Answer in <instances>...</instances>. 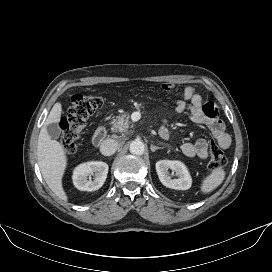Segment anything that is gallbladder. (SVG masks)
<instances>
[{
    "label": "gallbladder",
    "instance_id": "bac80fb5",
    "mask_svg": "<svg viewBox=\"0 0 272 272\" xmlns=\"http://www.w3.org/2000/svg\"><path fill=\"white\" fill-rule=\"evenodd\" d=\"M47 132L52 139H58L61 134V129L56 123L47 125Z\"/></svg>",
    "mask_w": 272,
    "mask_h": 272
}]
</instances>
